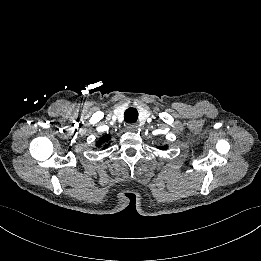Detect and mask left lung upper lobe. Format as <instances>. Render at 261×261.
I'll use <instances>...</instances> for the list:
<instances>
[{"label":"left lung upper lobe","instance_id":"1","mask_svg":"<svg viewBox=\"0 0 261 261\" xmlns=\"http://www.w3.org/2000/svg\"><path fill=\"white\" fill-rule=\"evenodd\" d=\"M167 148H168L167 145H164V146L159 147V149H161V150H166Z\"/></svg>","mask_w":261,"mask_h":261}]
</instances>
